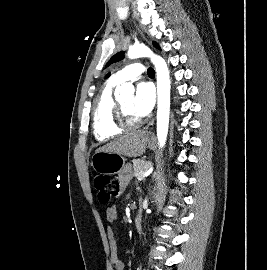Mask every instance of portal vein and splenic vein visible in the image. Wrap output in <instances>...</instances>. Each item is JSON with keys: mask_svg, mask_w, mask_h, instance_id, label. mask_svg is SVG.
Segmentation results:
<instances>
[{"mask_svg": "<svg viewBox=\"0 0 267 270\" xmlns=\"http://www.w3.org/2000/svg\"><path fill=\"white\" fill-rule=\"evenodd\" d=\"M152 170H153V168L151 167L146 172H144L143 174H141L140 177H139V180L144 179L145 177H147L148 175H150V173L152 172Z\"/></svg>", "mask_w": 267, "mask_h": 270, "instance_id": "obj_1", "label": "portal vein and splenic vein"}]
</instances>
